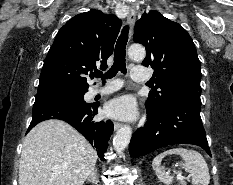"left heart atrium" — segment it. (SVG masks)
Instances as JSON below:
<instances>
[{"instance_id":"1","label":"left heart atrium","mask_w":233,"mask_h":185,"mask_svg":"<svg viewBox=\"0 0 233 185\" xmlns=\"http://www.w3.org/2000/svg\"><path fill=\"white\" fill-rule=\"evenodd\" d=\"M106 114L120 120H132L137 116L136 103L129 95L120 96L107 104Z\"/></svg>"}]
</instances>
